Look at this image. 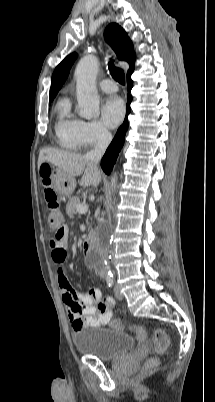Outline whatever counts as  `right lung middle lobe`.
Listing matches in <instances>:
<instances>
[{"label":"right lung middle lobe","mask_w":215,"mask_h":402,"mask_svg":"<svg viewBox=\"0 0 215 402\" xmlns=\"http://www.w3.org/2000/svg\"><path fill=\"white\" fill-rule=\"evenodd\" d=\"M53 99H54V97H50V98H49V101L51 102Z\"/></svg>","instance_id":"obj_1"}]
</instances>
